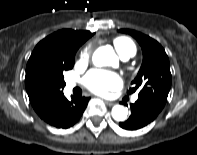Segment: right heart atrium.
Listing matches in <instances>:
<instances>
[{"label": "right heart atrium", "instance_id": "1", "mask_svg": "<svg viewBox=\"0 0 197 155\" xmlns=\"http://www.w3.org/2000/svg\"><path fill=\"white\" fill-rule=\"evenodd\" d=\"M91 55V48L90 47H85L82 52H81V59H88Z\"/></svg>", "mask_w": 197, "mask_h": 155}]
</instances>
